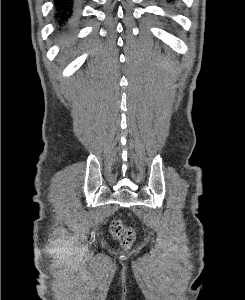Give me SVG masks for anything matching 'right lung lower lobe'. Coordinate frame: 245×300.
<instances>
[{"mask_svg": "<svg viewBox=\"0 0 245 300\" xmlns=\"http://www.w3.org/2000/svg\"><path fill=\"white\" fill-rule=\"evenodd\" d=\"M79 0H55L58 28L68 33L76 22L77 5Z\"/></svg>", "mask_w": 245, "mask_h": 300, "instance_id": "right-lung-lower-lobe-1", "label": "right lung lower lobe"}]
</instances>
